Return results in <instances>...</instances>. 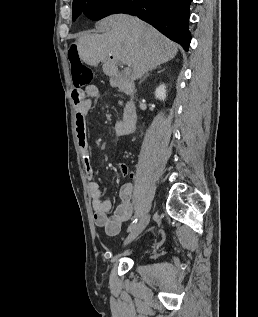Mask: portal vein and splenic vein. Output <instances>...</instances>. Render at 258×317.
<instances>
[{
	"instance_id": "obj_1",
	"label": "portal vein and splenic vein",
	"mask_w": 258,
	"mask_h": 317,
	"mask_svg": "<svg viewBox=\"0 0 258 317\" xmlns=\"http://www.w3.org/2000/svg\"><path fill=\"white\" fill-rule=\"evenodd\" d=\"M125 72H126V74H130V72H131L130 64H129V66H127V68H125Z\"/></svg>"
}]
</instances>
